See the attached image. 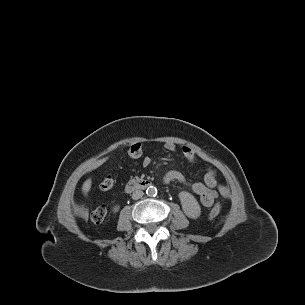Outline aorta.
I'll return each mask as SVG.
<instances>
[{"label": "aorta", "instance_id": "762f6f07", "mask_svg": "<svg viewBox=\"0 0 305 305\" xmlns=\"http://www.w3.org/2000/svg\"><path fill=\"white\" fill-rule=\"evenodd\" d=\"M146 194H147L148 196H156V194H157V189H156V187H154V186H149V187L147 188V190H146Z\"/></svg>", "mask_w": 305, "mask_h": 305}]
</instances>
